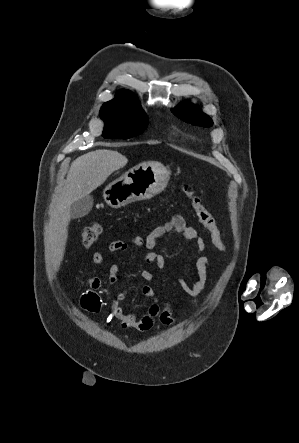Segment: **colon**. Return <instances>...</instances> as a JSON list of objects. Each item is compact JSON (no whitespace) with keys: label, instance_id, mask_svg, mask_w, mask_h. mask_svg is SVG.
I'll use <instances>...</instances> for the list:
<instances>
[{"label":"colon","instance_id":"1","mask_svg":"<svg viewBox=\"0 0 299 443\" xmlns=\"http://www.w3.org/2000/svg\"><path fill=\"white\" fill-rule=\"evenodd\" d=\"M183 191L189 197L193 211L195 212L199 222L209 232L213 244L220 250H224V243L217 221L213 214L203 205L200 198L193 191L184 186ZM102 233V226L99 223H92L85 227L81 234L82 244L88 249L95 244Z\"/></svg>","mask_w":299,"mask_h":443}]
</instances>
